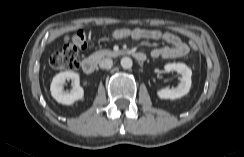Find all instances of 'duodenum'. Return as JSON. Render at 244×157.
<instances>
[{
  "instance_id": "duodenum-1",
  "label": "duodenum",
  "mask_w": 244,
  "mask_h": 157,
  "mask_svg": "<svg viewBox=\"0 0 244 157\" xmlns=\"http://www.w3.org/2000/svg\"><path fill=\"white\" fill-rule=\"evenodd\" d=\"M132 55L138 61L146 60V55L143 52H133ZM81 67L86 74H93L97 69V61L91 57L84 58Z\"/></svg>"
}]
</instances>
